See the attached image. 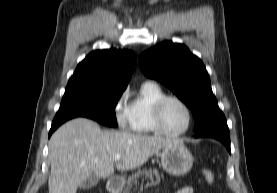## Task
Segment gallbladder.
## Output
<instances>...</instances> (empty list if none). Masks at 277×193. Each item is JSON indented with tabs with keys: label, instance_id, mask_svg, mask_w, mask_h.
I'll use <instances>...</instances> for the list:
<instances>
[{
	"label": "gallbladder",
	"instance_id": "gallbladder-1",
	"mask_svg": "<svg viewBox=\"0 0 277 193\" xmlns=\"http://www.w3.org/2000/svg\"><path fill=\"white\" fill-rule=\"evenodd\" d=\"M99 182V179L95 176H91L85 179L83 182L80 183L79 188L83 190H87L90 188L95 187Z\"/></svg>",
	"mask_w": 277,
	"mask_h": 193
}]
</instances>
